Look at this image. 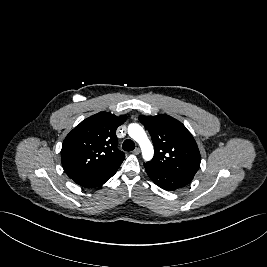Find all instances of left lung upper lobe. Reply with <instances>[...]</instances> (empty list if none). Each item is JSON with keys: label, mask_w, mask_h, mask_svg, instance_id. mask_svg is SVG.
Here are the masks:
<instances>
[{"label": "left lung upper lobe", "mask_w": 267, "mask_h": 267, "mask_svg": "<svg viewBox=\"0 0 267 267\" xmlns=\"http://www.w3.org/2000/svg\"><path fill=\"white\" fill-rule=\"evenodd\" d=\"M151 135L154 157L147 162L154 169L192 180L200 167L201 156L191 133L169 115L139 116Z\"/></svg>", "instance_id": "left-lung-upper-lobe-1"}]
</instances>
